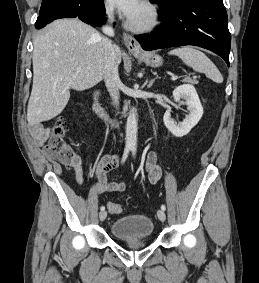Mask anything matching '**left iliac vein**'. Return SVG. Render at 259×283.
Wrapping results in <instances>:
<instances>
[{"label": "left iliac vein", "instance_id": "obj_1", "mask_svg": "<svg viewBox=\"0 0 259 283\" xmlns=\"http://www.w3.org/2000/svg\"><path fill=\"white\" fill-rule=\"evenodd\" d=\"M157 216H158L159 220L162 221V222H164L165 219H166L165 212L162 209H159L157 211Z\"/></svg>", "mask_w": 259, "mask_h": 283}]
</instances>
